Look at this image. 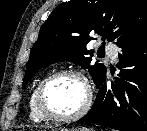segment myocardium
I'll return each instance as SVG.
<instances>
[{
	"mask_svg": "<svg viewBox=\"0 0 147 131\" xmlns=\"http://www.w3.org/2000/svg\"><path fill=\"white\" fill-rule=\"evenodd\" d=\"M66 76L76 77L83 82L87 91V100L84 106L78 112L71 115H60V114L54 113L48 107L46 103V91L51 83H53L55 80L59 78L66 77ZM92 103H93V95H92V90L89 85L88 79L81 71L76 69H64V70H60L48 75L42 80L36 92V104H37L39 112L45 119L54 121V122L76 121L82 118L83 116H85L89 112L92 106Z\"/></svg>",
	"mask_w": 147,
	"mask_h": 131,
	"instance_id": "f54148a6",
	"label": "myocardium"
}]
</instances>
